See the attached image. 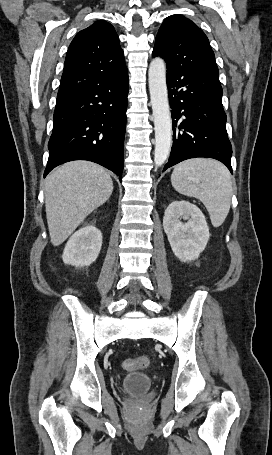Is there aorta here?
Segmentation results:
<instances>
[{
    "mask_svg": "<svg viewBox=\"0 0 272 455\" xmlns=\"http://www.w3.org/2000/svg\"><path fill=\"white\" fill-rule=\"evenodd\" d=\"M150 99L154 118V162L160 167L167 160L172 141V123L166 84V66L162 58H154L148 71Z\"/></svg>",
    "mask_w": 272,
    "mask_h": 455,
    "instance_id": "obj_1",
    "label": "aorta"
}]
</instances>
